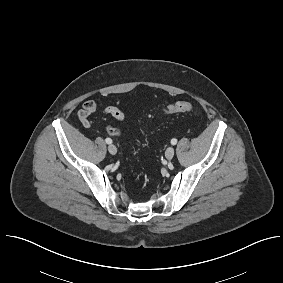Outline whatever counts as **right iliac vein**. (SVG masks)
<instances>
[{
  "label": "right iliac vein",
  "mask_w": 283,
  "mask_h": 283,
  "mask_svg": "<svg viewBox=\"0 0 283 283\" xmlns=\"http://www.w3.org/2000/svg\"><path fill=\"white\" fill-rule=\"evenodd\" d=\"M108 151H109L110 154L115 155V154L117 153V148H116L115 145L110 144V145L108 146Z\"/></svg>",
  "instance_id": "right-iliac-vein-1"
}]
</instances>
